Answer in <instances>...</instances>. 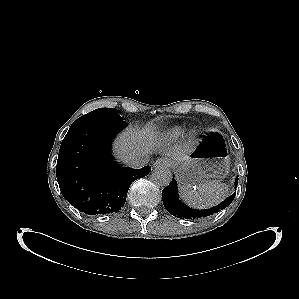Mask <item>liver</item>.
I'll return each mask as SVG.
<instances>
[{
  "label": "liver",
  "mask_w": 299,
  "mask_h": 299,
  "mask_svg": "<svg viewBox=\"0 0 299 299\" xmlns=\"http://www.w3.org/2000/svg\"><path fill=\"white\" fill-rule=\"evenodd\" d=\"M155 139L153 131L149 128L142 130L128 129L115 142L118 158L126 163L128 159L133 157L147 155L154 149L156 145ZM188 152L190 151L183 152V150L178 148L176 152H168L167 155L171 156L175 161H181L186 158Z\"/></svg>",
  "instance_id": "liver-1"
}]
</instances>
